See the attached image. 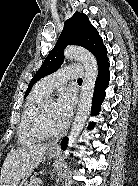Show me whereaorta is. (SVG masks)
Here are the masks:
<instances>
[{
  "label": "aorta",
  "mask_w": 138,
  "mask_h": 186,
  "mask_svg": "<svg viewBox=\"0 0 138 186\" xmlns=\"http://www.w3.org/2000/svg\"><path fill=\"white\" fill-rule=\"evenodd\" d=\"M64 57L67 60L81 62L85 68V77L81 87L78 109L69 134L68 147L64 153L65 156H67L71 146L83 130L89 115L95 82L98 75V65L95 57L89 51L81 47H67L64 51Z\"/></svg>",
  "instance_id": "obj_1"
}]
</instances>
